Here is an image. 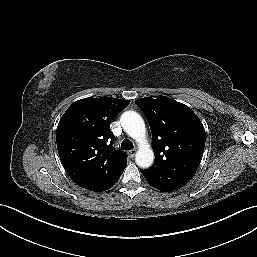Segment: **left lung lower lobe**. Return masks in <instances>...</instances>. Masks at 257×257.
<instances>
[{
    "mask_svg": "<svg viewBox=\"0 0 257 257\" xmlns=\"http://www.w3.org/2000/svg\"><path fill=\"white\" fill-rule=\"evenodd\" d=\"M141 173L151 186L165 192L182 188L192 178L170 169H146L141 170Z\"/></svg>",
    "mask_w": 257,
    "mask_h": 257,
    "instance_id": "obj_1",
    "label": "left lung lower lobe"
}]
</instances>
